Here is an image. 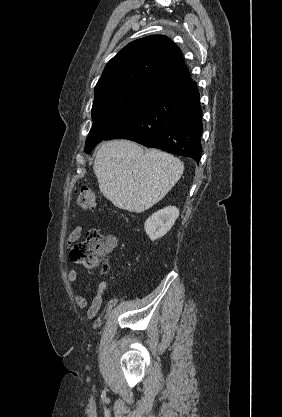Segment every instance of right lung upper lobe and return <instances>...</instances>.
<instances>
[{"mask_svg":"<svg viewBox=\"0 0 282 417\" xmlns=\"http://www.w3.org/2000/svg\"><path fill=\"white\" fill-rule=\"evenodd\" d=\"M181 50L163 35H151L125 46L106 65L95 96L128 89L159 92L189 77Z\"/></svg>","mask_w":282,"mask_h":417,"instance_id":"1","label":"right lung upper lobe"}]
</instances>
